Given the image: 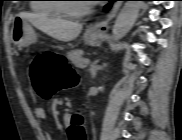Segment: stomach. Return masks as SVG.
<instances>
[{"label": "stomach", "mask_w": 182, "mask_h": 140, "mask_svg": "<svg viewBox=\"0 0 182 140\" xmlns=\"http://www.w3.org/2000/svg\"><path fill=\"white\" fill-rule=\"evenodd\" d=\"M11 39L18 47H26L36 42L37 36L32 24L25 18L18 15L14 18L11 29ZM84 40L87 44L97 46L101 43L102 35L87 29L84 33Z\"/></svg>", "instance_id": "stomach-1"}]
</instances>
